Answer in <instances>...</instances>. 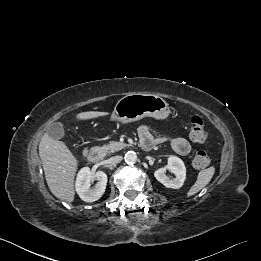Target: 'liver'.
Here are the masks:
<instances>
[{"mask_svg":"<svg viewBox=\"0 0 261 261\" xmlns=\"http://www.w3.org/2000/svg\"><path fill=\"white\" fill-rule=\"evenodd\" d=\"M107 115V112L88 111L77 114L76 119L89 120ZM39 156L52 194L68 203L73 202L74 179L78 168L77 158L64 142L54 140L47 133L41 138Z\"/></svg>","mask_w":261,"mask_h":261,"instance_id":"liver-1","label":"liver"}]
</instances>
